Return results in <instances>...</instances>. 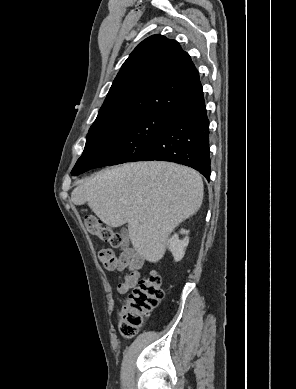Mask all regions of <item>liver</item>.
Segmentation results:
<instances>
[{
  "label": "liver",
  "mask_w": 296,
  "mask_h": 389,
  "mask_svg": "<svg viewBox=\"0 0 296 389\" xmlns=\"http://www.w3.org/2000/svg\"><path fill=\"white\" fill-rule=\"evenodd\" d=\"M71 201L87 203L111 228L128 223L135 251L156 263L170 233L200 209L203 181L195 170L171 162L127 163L83 182L72 191Z\"/></svg>",
  "instance_id": "6515ba94"
}]
</instances>
